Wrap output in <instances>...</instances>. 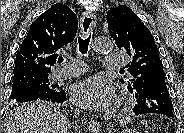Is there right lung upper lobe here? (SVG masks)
<instances>
[{
  "label": "right lung upper lobe",
  "instance_id": "cb5924a9",
  "mask_svg": "<svg viewBox=\"0 0 184 133\" xmlns=\"http://www.w3.org/2000/svg\"><path fill=\"white\" fill-rule=\"evenodd\" d=\"M77 30V17L67 5L51 6L31 24L16 55L13 74L49 75L57 52L74 40Z\"/></svg>",
  "mask_w": 184,
  "mask_h": 133
}]
</instances>
